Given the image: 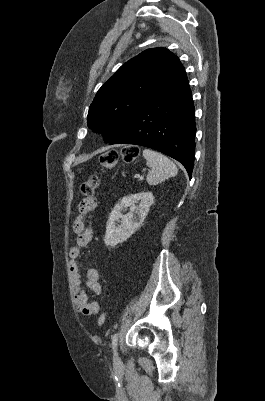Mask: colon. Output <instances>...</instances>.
<instances>
[{"mask_svg": "<svg viewBox=\"0 0 265 401\" xmlns=\"http://www.w3.org/2000/svg\"><path fill=\"white\" fill-rule=\"evenodd\" d=\"M139 153L138 148L133 146L124 147L121 152L108 151L100 156L101 165L106 169H112L116 166L120 157L125 161H133ZM100 185V178L97 175L90 176L89 179L82 182L79 188V194L85 198L92 197ZM105 312H102L98 318V325L102 326L105 322Z\"/></svg>", "mask_w": 265, "mask_h": 401, "instance_id": "1", "label": "colon"}]
</instances>
